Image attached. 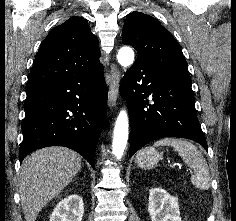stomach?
I'll list each match as a JSON object with an SVG mask.
<instances>
[{
	"label": "stomach",
	"mask_w": 236,
	"mask_h": 221,
	"mask_svg": "<svg viewBox=\"0 0 236 221\" xmlns=\"http://www.w3.org/2000/svg\"><path fill=\"white\" fill-rule=\"evenodd\" d=\"M161 159V155L153 147H145L140 150L136 157L135 163L137 166L145 169L153 168Z\"/></svg>",
	"instance_id": "obj_1"
}]
</instances>
